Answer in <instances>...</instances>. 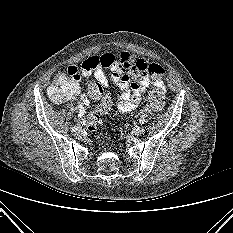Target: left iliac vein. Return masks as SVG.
<instances>
[{"mask_svg": "<svg viewBox=\"0 0 233 233\" xmlns=\"http://www.w3.org/2000/svg\"><path fill=\"white\" fill-rule=\"evenodd\" d=\"M143 132H144V128H143V127H139V128H137V129L134 131V133H135L136 135H141Z\"/></svg>", "mask_w": 233, "mask_h": 233, "instance_id": "obj_1", "label": "left iliac vein"}]
</instances>
